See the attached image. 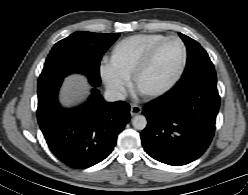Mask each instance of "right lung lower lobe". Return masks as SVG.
<instances>
[{"label":"right lung lower lobe","instance_id":"1","mask_svg":"<svg viewBox=\"0 0 248 195\" xmlns=\"http://www.w3.org/2000/svg\"><path fill=\"white\" fill-rule=\"evenodd\" d=\"M62 81L38 88V123L61 162L74 169L89 168L113 151L118 134L130 120V106L123 101L105 102L93 89L84 105L65 109L57 98Z\"/></svg>","mask_w":248,"mask_h":195}]
</instances>
